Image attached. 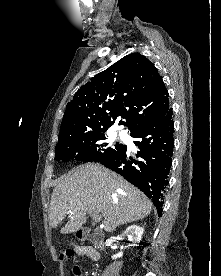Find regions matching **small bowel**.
<instances>
[{"label":"small bowel","instance_id":"c3829d8e","mask_svg":"<svg viewBox=\"0 0 221 276\" xmlns=\"http://www.w3.org/2000/svg\"><path fill=\"white\" fill-rule=\"evenodd\" d=\"M76 252L78 255L86 256L95 261L98 260L100 257L97 250H95L91 246H79L77 247Z\"/></svg>","mask_w":221,"mask_h":276}]
</instances>
